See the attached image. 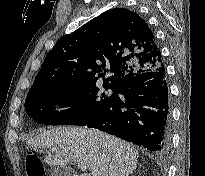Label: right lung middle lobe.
Segmentation results:
<instances>
[{"instance_id": "1", "label": "right lung middle lobe", "mask_w": 205, "mask_h": 176, "mask_svg": "<svg viewBox=\"0 0 205 176\" xmlns=\"http://www.w3.org/2000/svg\"><path fill=\"white\" fill-rule=\"evenodd\" d=\"M108 90L115 87L103 85ZM106 95L96 85L50 86L31 92L25 100V110L34 121L46 125H79L90 123L114 98ZM65 101L63 111H54V101Z\"/></svg>"}]
</instances>
